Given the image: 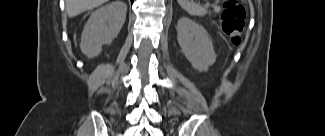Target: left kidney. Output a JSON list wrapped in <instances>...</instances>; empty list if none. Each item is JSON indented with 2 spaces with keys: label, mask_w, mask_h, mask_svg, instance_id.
<instances>
[{
  "label": "left kidney",
  "mask_w": 325,
  "mask_h": 136,
  "mask_svg": "<svg viewBox=\"0 0 325 136\" xmlns=\"http://www.w3.org/2000/svg\"><path fill=\"white\" fill-rule=\"evenodd\" d=\"M177 39L182 53L194 69L206 72L215 63L213 42L203 26L181 17L177 24Z\"/></svg>",
  "instance_id": "5707ae66"
}]
</instances>
